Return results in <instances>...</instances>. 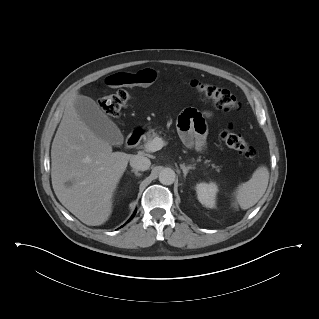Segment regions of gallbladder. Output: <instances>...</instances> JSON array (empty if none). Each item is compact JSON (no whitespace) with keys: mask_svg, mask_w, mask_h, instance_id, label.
<instances>
[{"mask_svg":"<svg viewBox=\"0 0 319 319\" xmlns=\"http://www.w3.org/2000/svg\"><path fill=\"white\" fill-rule=\"evenodd\" d=\"M74 107L80 119L100 139L119 146L124 138L117 125L101 110L90 97L77 96Z\"/></svg>","mask_w":319,"mask_h":319,"instance_id":"obj_1","label":"gallbladder"}]
</instances>
